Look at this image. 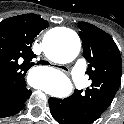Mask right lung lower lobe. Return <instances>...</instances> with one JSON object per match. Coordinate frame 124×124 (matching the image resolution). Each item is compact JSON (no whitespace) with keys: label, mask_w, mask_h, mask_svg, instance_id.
<instances>
[{"label":"right lung lower lobe","mask_w":124,"mask_h":124,"mask_svg":"<svg viewBox=\"0 0 124 124\" xmlns=\"http://www.w3.org/2000/svg\"><path fill=\"white\" fill-rule=\"evenodd\" d=\"M31 93V90L26 89L21 93L0 98V117H9L22 110Z\"/></svg>","instance_id":"obj_1"}]
</instances>
